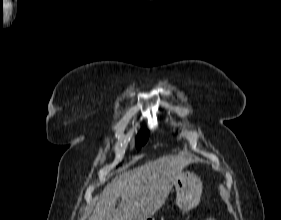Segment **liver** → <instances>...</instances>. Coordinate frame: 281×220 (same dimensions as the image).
Instances as JSON below:
<instances>
[{
  "label": "liver",
  "mask_w": 281,
  "mask_h": 220,
  "mask_svg": "<svg viewBox=\"0 0 281 220\" xmlns=\"http://www.w3.org/2000/svg\"><path fill=\"white\" fill-rule=\"evenodd\" d=\"M184 153L163 156L126 171L108 183L89 220H147L165 203L185 166ZM121 203L116 208V201Z\"/></svg>",
  "instance_id": "6515ba94"
}]
</instances>
